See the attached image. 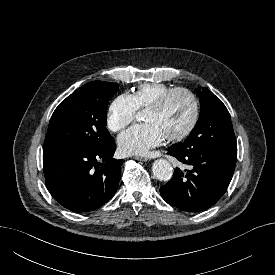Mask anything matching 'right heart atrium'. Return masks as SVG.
Wrapping results in <instances>:
<instances>
[{
    "label": "right heart atrium",
    "mask_w": 275,
    "mask_h": 275,
    "mask_svg": "<svg viewBox=\"0 0 275 275\" xmlns=\"http://www.w3.org/2000/svg\"><path fill=\"white\" fill-rule=\"evenodd\" d=\"M138 108L130 94L117 96L109 105L107 111V127L113 132H119L131 124L137 115Z\"/></svg>",
    "instance_id": "1"
}]
</instances>
